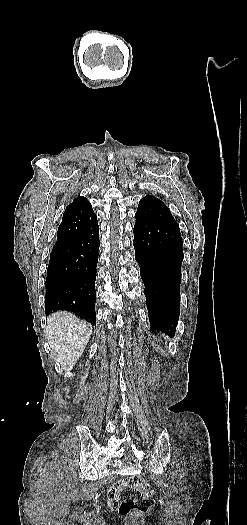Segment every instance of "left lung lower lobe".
<instances>
[{"label":"left lung lower lobe","mask_w":247,"mask_h":525,"mask_svg":"<svg viewBox=\"0 0 247 525\" xmlns=\"http://www.w3.org/2000/svg\"><path fill=\"white\" fill-rule=\"evenodd\" d=\"M182 238L179 229L136 216L135 258L145 285L150 330L174 335L179 318Z\"/></svg>","instance_id":"left-lung-lower-lobe-1"}]
</instances>
